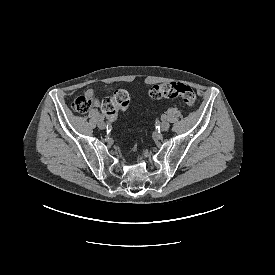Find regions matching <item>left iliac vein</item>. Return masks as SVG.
Segmentation results:
<instances>
[{
	"label": "left iliac vein",
	"instance_id": "1",
	"mask_svg": "<svg viewBox=\"0 0 275 275\" xmlns=\"http://www.w3.org/2000/svg\"><path fill=\"white\" fill-rule=\"evenodd\" d=\"M169 127H170V124L167 121H162V123L160 124V128L162 131L168 130Z\"/></svg>",
	"mask_w": 275,
	"mask_h": 275
}]
</instances>
